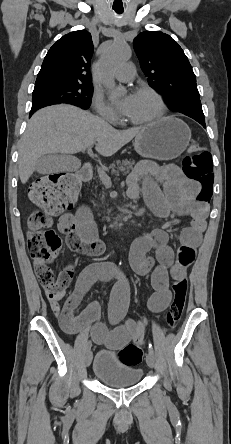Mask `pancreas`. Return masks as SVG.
<instances>
[{"label": "pancreas", "instance_id": "obj_1", "mask_svg": "<svg viewBox=\"0 0 231 444\" xmlns=\"http://www.w3.org/2000/svg\"><path fill=\"white\" fill-rule=\"evenodd\" d=\"M134 163L135 162L131 160H117L115 163H112L109 168L112 169V172H116V168L130 171L133 168Z\"/></svg>", "mask_w": 231, "mask_h": 444}]
</instances>
